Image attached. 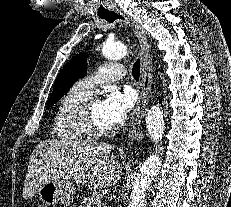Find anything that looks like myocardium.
Masks as SVG:
<instances>
[{"label":"myocardium","instance_id":"1","mask_svg":"<svg viewBox=\"0 0 231 207\" xmlns=\"http://www.w3.org/2000/svg\"><path fill=\"white\" fill-rule=\"evenodd\" d=\"M97 101L96 98H89L85 101L80 111V122L89 136L102 138L113 134L115 129L113 127L102 128L95 122L91 108L93 103Z\"/></svg>","mask_w":231,"mask_h":207}]
</instances>
